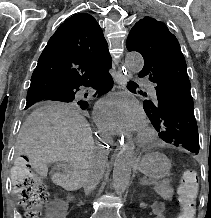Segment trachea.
<instances>
[{
  "mask_svg": "<svg viewBox=\"0 0 211 218\" xmlns=\"http://www.w3.org/2000/svg\"><path fill=\"white\" fill-rule=\"evenodd\" d=\"M138 85H137V83H135V82H128V87L129 88H136Z\"/></svg>",
  "mask_w": 211,
  "mask_h": 218,
  "instance_id": "3493384b",
  "label": "trachea"
}]
</instances>
